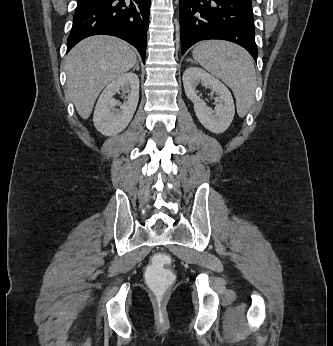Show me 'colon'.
<instances>
[{
  "mask_svg": "<svg viewBox=\"0 0 333 346\" xmlns=\"http://www.w3.org/2000/svg\"><path fill=\"white\" fill-rule=\"evenodd\" d=\"M169 255L159 253L151 258L152 264H147V269H144L145 280L147 287L151 288V294L154 299H165L168 294V288H173L174 273L171 269H166V265L170 263Z\"/></svg>",
  "mask_w": 333,
  "mask_h": 346,
  "instance_id": "1",
  "label": "colon"
}]
</instances>
